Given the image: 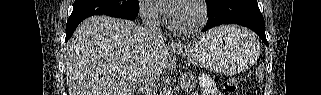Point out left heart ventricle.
Instances as JSON below:
<instances>
[{
	"label": "left heart ventricle",
	"mask_w": 321,
	"mask_h": 95,
	"mask_svg": "<svg viewBox=\"0 0 321 95\" xmlns=\"http://www.w3.org/2000/svg\"><path fill=\"white\" fill-rule=\"evenodd\" d=\"M172 19L179 27H190L197 21V12L192 6H183Z\"/></svg>",
	"instance_id": "obj_1"
}]
</instances>
